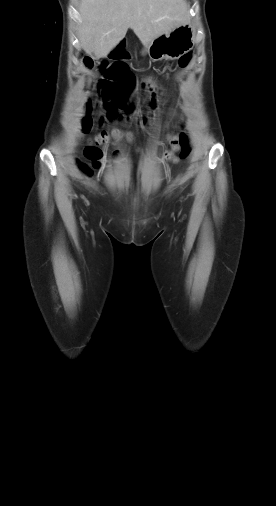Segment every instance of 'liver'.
<instances>
[{"label":"liver","instance_id":"liver-1","mask_svg":"<svg viewBox=\"0 0 276 506\" xmlns=\"http://www.w3.org/2000/svg\"><path fill=\"white\" fill-rule=\"evenodd\" d=\"M185 0H80L79 40L86 54L106 57L131 28L143 45L188 23Z\"/></svg>","mask_w":276,"mask_h":506}]
</instances>
